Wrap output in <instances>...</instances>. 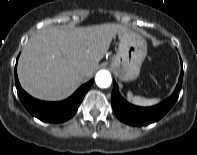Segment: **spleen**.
Masks as SVG:
<instances>
[{
    "mask_svg": "<svg viewBox=\"0 0 197 155\" xmlns=\"http://www.w3.org/2000/svg\"><path fill=\"white\" fill-rule=\"evenodd\" d=\"M127 98L129 101H131L133 104L138 106H152L159 102V99L153 98V99H147L140 96H133L132 92L127 93Z\"/></svg>",
    "mask_w": 197,
    "mask_h": 155,
    "instance_id": "obj_1",
    "label": "spleen"
}]
</instances>
